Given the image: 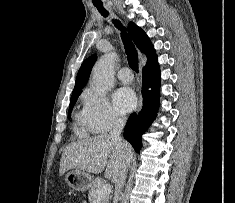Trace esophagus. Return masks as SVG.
<instances>
[{"instance_id":"34e87169","label":"esophagus","mask_w":235,"mask_h":203,"mask_svg":"<svg viewBox=\"0 0 235 203\" xmlns=\"http://www.w3.org/2000/svg\"><path fill=\"white\" fill-rule=\"evenodd\" d=\"M142 106H143V97H142V95H141V93H140V95H139L138 109H137V111H136L137 114L141 111Z\"/></svg>"}]
</instances>
